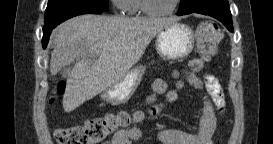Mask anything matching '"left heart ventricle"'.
I'll list each match as a JSON object with an SVG mask.
<instances>
[{"label": "left heart ventricle", "mask_w": 273, "mask_h": 144, "mask_svg": "<svg viewBox=\"0 0 273 144\" xmlns=\"http://www.w3.org/2000/svg\"><path fill=\"white\" fill-rule=\"evenodd\" d=\"M173 2L174 0H149V6L155 10H167Z\"/></svg>", "instance_id": "1"}]
</instances>
